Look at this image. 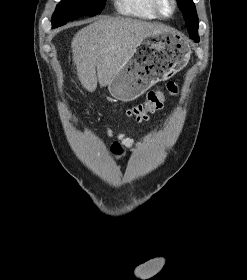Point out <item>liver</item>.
Returning a JSON list of instances; mask_svg holds the SVG:
<instances>
[{
    "label": "liver",
    "instance_id": "obj_1",
    "mask_svg": "<svg viewBox=\"0 0 247 280\" xmlns=\"http://www.w3.org/2000/svg\"><path fill=\"white\" fill-rule=\"evenodd\" d=\"M168 31L164 25L132 18H102L82 28L71 42L82 86L89 92L95 91L97 81L107 86L145 37Z\"/></svg>",
    "mask_w": 247,
    "mask_h": 280
}]
</instances>
